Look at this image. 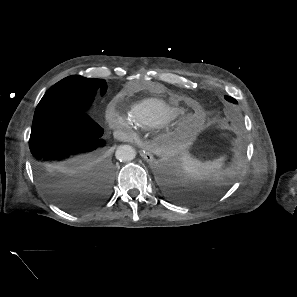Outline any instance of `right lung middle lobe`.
I'll return each instance as SVG.
<instances>
[{
	"label": "right lung middle lobe",
	"mask_w": 297,
	"mask_h": 297,
	"mask_svg": "<svg viewBox=\"0 0 297 297\" xmlns=\"http://www.w3.org/2000/svg\"><path fill=\"white\" fill-rule=\"evenodd\" d=\"M103 95L107 85L103 79H88L79 75L69 76L52 86L35 110L33 125L67 112L88 113L97 89Z\"/></svg>",
	"instance_id": "dd1d6c3e"
}]
</instances>
